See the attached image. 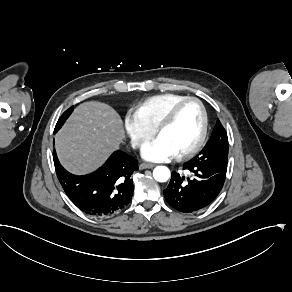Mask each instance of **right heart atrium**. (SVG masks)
Masks as SVG:
<instances>
[{
	"mask_svg": "<svg viewBox=\"0 0 292 292\" xmlns=\"http://www.w3.org/2000/svg\"><path fill=\"white\" fill-rule=\"evenodd\" d=\"M123 118L124 130L131 143L136 147H141L150 138L153 129L144 124L132 111H127Z\"/></svg>",
	"mask_w": 292,
	"mask_h": 292,
	"instance_id": "right-heart-atrium-1",
	"label": "right heart atrium"
}]
</instances>
